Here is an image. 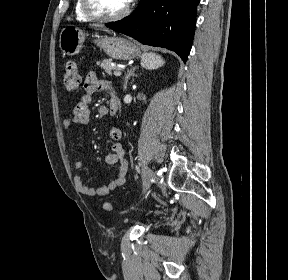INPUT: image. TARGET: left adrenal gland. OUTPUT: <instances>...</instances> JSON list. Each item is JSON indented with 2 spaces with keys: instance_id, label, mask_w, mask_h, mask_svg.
Listing matches in <instances>:
<instances>
[{
  "instance_id": "a2214340",
  "label": "left adrenal gland",
  "mask_w": 288,
  "mask_h": 280,
  "mask_svg": "<svg viewBox=\"0 0 288 280\" xmlns=\"http://www.w3.org/2000/svg\"><path fill=\"white\" fill-rule=\"evenodd\" d=\"M137 69V67H131L128 71L127 74L125 75L124 78V90H127V84H128V80L130 79V77H137V75H135L134 71Z\"/></svg>"
}]
</instances>
